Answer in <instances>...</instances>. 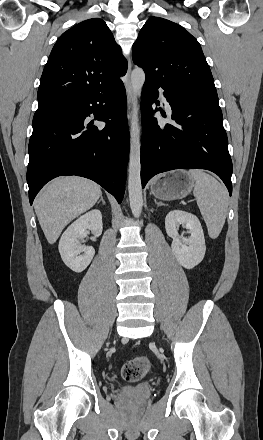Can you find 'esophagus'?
<instances>
[{"mask_svg":"<svg viewBox=\"0 0 263 440\" xmlns=\"http://www.w3.org/2000/svg\"><path fill=\"white\" fill-rule=\"evenodd\" d=\"M130 75H131V60L129 59L127 73H126L127 81L125 83L126 94H127V103H128V121H129V123L131 122L132 110L135 106V96L133 93V87L131 84Z\"/></svg>","mask_w":263,"mask_h":440,"instance_id":"esophagus-1","label":"esophagus"}]
</instances>
